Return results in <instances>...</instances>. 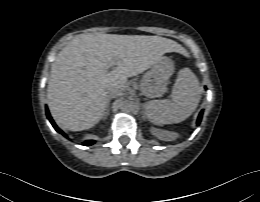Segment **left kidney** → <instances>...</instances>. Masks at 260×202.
<instances>
[{
  "mask_svg": "<svg viewBox=\"0 0 260 202\" xmlns=\"http://www.w3.org/2000/svg\"><path fill=\"white\" fill-rule=\"evenodd\" d=\"M153 134H158V131L156 129L151 130Z\"/></svg>",
  "mask_w": 260,
  "mask_h": 202,
  "instance_id": "1",
  "label": "left kidney"
}]
</instances>
